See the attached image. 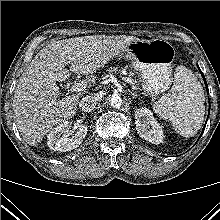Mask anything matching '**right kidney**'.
Here are the masks:
<instances>
[{
	"label": "right kidney",
	"mask_w": 220,
	"mask_h": 220,
	"mask_svg": "<svg viewBox=\"0 0 220 220\" xmlns=\"http://www.w3.org/2000/svg\"><path fill=\"white\" fill-rule=\"evenodd\" d=\"M71 123L64 121L53 128L48 134L47 145L50 149L59 152H66L77 148L87 134V126L82 125L74 136L69 137Z\"/></svg>",
	"instance_id": "1"
}]
</instances>
